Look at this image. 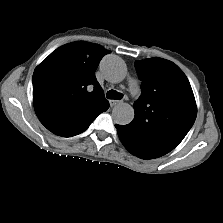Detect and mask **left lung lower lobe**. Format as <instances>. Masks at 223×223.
<instances>
[{"mask_svg":"<svg viewBox=\"0 0 223 223\" xmlns=\"http://www.w3.org/2000/svg\"><path fill=\"white\" fill-rule=\"evenodd\" d=\"M118 136L125 148L133 155L142 159H153L165 155V153L149 148L145 145L136 144L131 141L130 133L126 130L125 125H115Z\"/></svg>","mask_w":223,"mask_h":223,"instance_id":"obj_1","label":"left lung lower lobe"}]
</instances>
